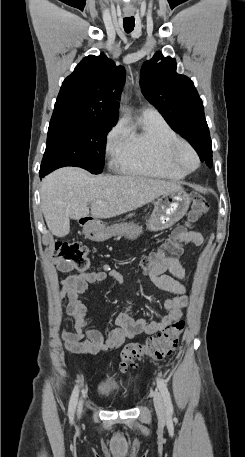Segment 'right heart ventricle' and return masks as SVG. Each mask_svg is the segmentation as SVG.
Masks as SVG:
<instances>
[{
  "instance_id": "right-heart-ventricle-1",
  "label": "right heart ventricle",
  "mask_w": 245,
  "mask_h": 457,
  "mask_svg": "<svg viewBox=\"0 0 245 457\" xmlns=\"http://www.w3.org/2000/svg\"><path fill=\"white\" fill-rule=\"evenodd\" d=\"M178 139L179 135L162 116L143 115L134 125L125 128L123 143L112 151V156L117 162L132 170L179 180L185 175L159 166L152 157L156 149H163Z\"/></svg>"
}]
</instances>
